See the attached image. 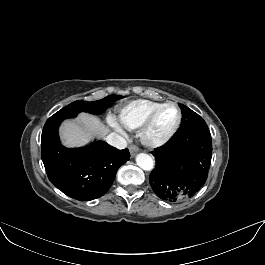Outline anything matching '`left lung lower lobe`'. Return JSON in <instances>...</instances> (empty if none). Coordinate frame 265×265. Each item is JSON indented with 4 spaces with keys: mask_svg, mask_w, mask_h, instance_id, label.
<instances>
[{
    "mask_svg": "<svg viewBox=\"0 0 265 265\" xmlns=\"http://www.w3.org/2000/svg\"><path fill=\"white\" fill-rule=\"evenodd\" d=\"M155 168L149 176L154 193L168 202L192 197L204 185L212 158L211 134L205 121L177 131L152 151Z\"/></svg>",
    "mask_w": 265,
    "mask_h": 265,
    "instance_id": "left-lung-lower-lobe-1",
    "label": "left lung lower lobe"
}]
</instances>
